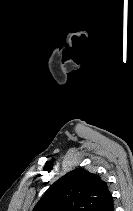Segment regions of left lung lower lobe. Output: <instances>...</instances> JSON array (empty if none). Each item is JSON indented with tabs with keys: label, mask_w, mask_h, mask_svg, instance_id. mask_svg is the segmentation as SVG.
Masks as SVG:
<instances>
[{
	"label": "left lung lower lobe",
	"mask_w": 133,
	"mask_h": 211,
	"mask_svg": "<svg viewBox=\"0 0 133 211\" xmlns=\"http://www.w3.org/2000/svg\"><path fill=\"white\" fill-rule=\"evenodd\" d=\"M94 211H114L112 195L102 202Z\"/></svg>",
	"instance_id": "0a47b994"
}]
</instances>
